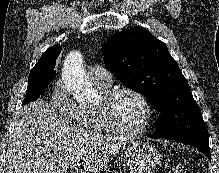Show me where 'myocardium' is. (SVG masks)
Segmentation results:
<instances>
[{
  "label": "myocardium",
  "instance_id": "obj_1",
  "mask_svg": "<svg viewBox=\"0 0 219 173\" xmlns=\"http://www.w3.org/2000/svg\"><path fill=\"white\" fill-rule=\"evenodd\" d=\"M124 93H128L137 97L144 107V117L141 125L137 129L131 131L120 128L114 122L110 112V108L114 100ZM97 108L99 115L108 130L118 136L126 138H134L143 134L147 130L153 115L152 105L148 98L139 90L128 86L116 87L104 93Z\"/></svg>",
  "mask_w": 219,
  "mask_h": 173
}]
</instances>
